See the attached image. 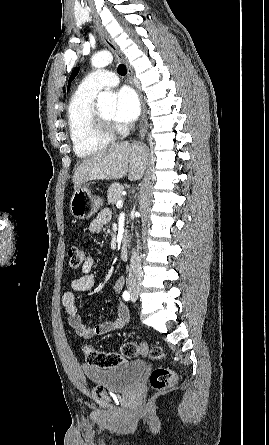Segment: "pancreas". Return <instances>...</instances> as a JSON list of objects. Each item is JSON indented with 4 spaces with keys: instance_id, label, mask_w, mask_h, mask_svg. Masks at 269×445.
<instances>
[{
    "instance_id": "obj_1",
    "label": "pancreas",
    "mask_w": 269,
    "mask_h": 445,
    "mask_svg": "<svg viewBox=\"0 0 269 445\" xmlns=\"http://www.w3.org/2000/svg\"><path fill=\"white\" fill-rule=\"evenodd\" d=\"M124 187L119 183L112 184L108 189L107 201L109 204L114 205L116 202L122 199V191Z\"/></svg>"
}]
</instances>
